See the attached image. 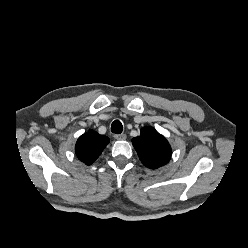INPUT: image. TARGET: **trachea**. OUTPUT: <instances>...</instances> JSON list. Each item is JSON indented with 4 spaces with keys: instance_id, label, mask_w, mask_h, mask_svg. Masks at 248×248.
<instances>
[{
    "instance_id": "trachea-1",
    "label": "trachea",
    "mask_w": 248,
    "mask_h": 248,
    "mask_svg": "<svg viewBox=\"0 0 248 248\" xmlns=\"http://www.w3.org/2000/svg\"><path fill=\"white\" fill-rule=\"evenodd\" d=\"M111 131L115 134H120L123 131L122 123L119 120H115L111 125Z\"/></svg>"
}]
</instances>
